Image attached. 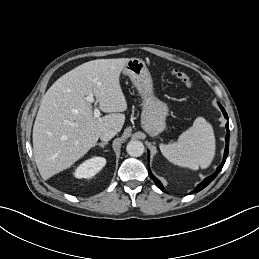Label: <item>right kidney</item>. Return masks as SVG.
<instances>
[{"label": "right kidney", "instance_id": "ca27d5eb", "mask_svg": "<svg viewBox=\"0 0 259 259\" xmlns=\"http://www.w3.org/2000/svg\"><path fill=\"white\" fill-rule=\"evenodd\" d=\"M106 164V159L103 157H93L80 164L75 172L74 176L78 179L91 178L96 175Z\"/></svg>", "mask_w": 259, "mask_h": 259}]
</instances>
